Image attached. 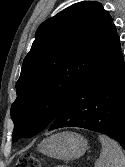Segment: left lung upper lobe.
I'll use <instances>...</instances> for the list:
<instances>
[{"label": "left lung upper lobe", "mask_w": 125, "mask_h": 167, "mask_svg": "<svg viewBox=\"0 0 125 167\" xmlns=\"http://www.w3.org/2000/svg\"><path fill=\"white\" fill-rule=\"evenodd\" d=\"M112 25L101 3L83 1L44 21L23 61L11 106L12 142L50 126L87 76Z\"/></svg>", "instance_id": "5c2ea615"}]
</instances>
